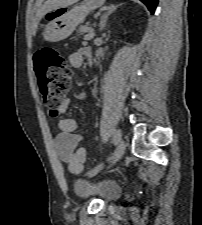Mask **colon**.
<instances>
[{
	"mask_svg": "<svg viewBox=\"0 0 202 225\" xmlns=\"http://www.w3.org/2000/svg\"><path fill=\"white\" fill-rule=\"evenodd\" d=\"M37 79L42 100L51 117L56 118L65 94L71 87L72 71L64 57L54 49L45 48L35 56ZM77 159L70 169L75 171Z\"/></svg>",
	"mask_w": 202,
	"mask_h": 225,
	"instance_id": "1",
	"label": "colon"
}]
</instances>
